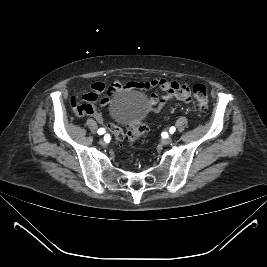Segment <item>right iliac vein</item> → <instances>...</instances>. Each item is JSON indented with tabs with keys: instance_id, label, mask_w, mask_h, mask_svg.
Returning a JSON list of instances; mask_svg holds the SVG:
<instances>
[{
	"instance_id": "right-iliac-vein-1",
	"label": "right iliac vein",
	"mask_w": 267,
	"mask_h": 267,
	"mask_svg": "<svg viewBox=\"0 0 267 267\" xmlns=\"http://www.w3.org/2000/svg\"><path fill=\"white\" fill-rule=\"evenodd\" d=\"M99 143H100L101 146H106L107 145V143L105 142L104 139H100Z\"/></svg>"
}]
</instances>
